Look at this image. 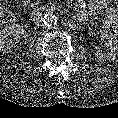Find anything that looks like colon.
<instances>
[{"label":"colon","instance_id":"1","mask_svg":"<svg viewBox=\"0 0 118 118\" xmlns=\"http://www.w3.org/2000/svg\"><path fill=\"white\" fill-rule=\"evenodd\" d=\"M30 3H36L38 0H27ZM14 15L12 11L0 4V27L9 25L13 22Z\"/></svg>","mask_w":118,"mask_h":118}]
</instances>
